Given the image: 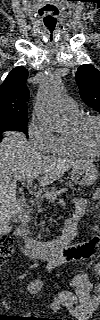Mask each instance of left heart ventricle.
<instances>
[{"mask_svg":"<svg viewBox=\"0 0 100 320\" xmlns=\"http://www.w3.org/2000/svg\"><path fill=\"white\" fill-rule=\"evenodd\" d=\"M82 139L93 149H97L100 145L99 127L96 122H88L83 131Z\"/></svg>","mask_w":100,"mask_h":320,"instance_id":"b2bd125f","label":"left heart ventricle"}]
</instances>
